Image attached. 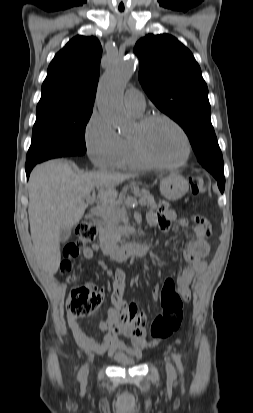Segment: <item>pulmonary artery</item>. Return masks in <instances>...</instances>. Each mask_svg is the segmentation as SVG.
<instances>
[{
  "label": "pulmonary artery",
  "mask_w": 253,
  "mask_h": 413,
  "mask_svg": "<svg viewBox=\"0 0 253 413\" xmlns=\"http://www.w3.org/2000/svg\"><path fill=\"white\" fill-rule=\"evenodd\" d=\"M125 106L131 113L142 114L145 110L143 94L136 89H128L124 96Z\"/></svg>",
  "instance_id": "e3ab8cb5"
}]
</instances>
